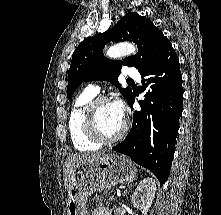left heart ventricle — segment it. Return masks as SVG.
<instances>
[{"label":"left heart ventricle","mask_w":221,"mask_h":215,"mask_svg":"<svg viewBox=\"0 0 221 215\" xmlns=\"http://www.w3.org/2000/svg\"><path fill=\"white\" fill-rule=\"evenodd\" d=\"M97 125L99 130L105 136H113L119 132L123 121L114 113L111 103H105L97 109Z\"/></svg>","instance_id":"1"}]
</instances>
